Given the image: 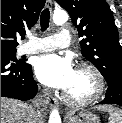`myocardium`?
Returning <instances> with one entry per match:
<instances>
[{
  "mask_svg": "<svg viewBox=\"0 0 122 123\" xmlns=\"http://www.w3.org/2000/svg\"><path fill=\"white\" fill-rule=\"evenodd\" d=\"M81 69L89 70L94 74V76L96 77V80H97V88L91 96H89L87 98H83V99L72 98L67 92H65L63 94V98L68 104H70L72 106L89 105V104L97 101L104 94L105 89H106L105 77L98 67H96L95 65H93L91 63H80L77 65V70H81Z\"/></svg>",
  "mask_w": 122,
  "mask_h": 123,
  "instance_id": "myocardium-1",
  "label": "myocardium"
}]
</instances>
